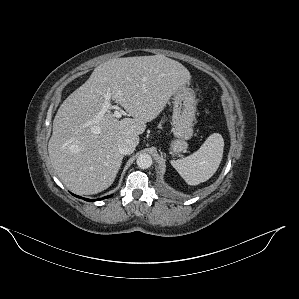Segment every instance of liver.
I'll use <instances>...</instances> for the list:
<instances>
[{"instance_id":"6515ba94","label":"liver","mask_w":299,"mask_h":299,"mask_svg":"<svg viewBox=\"0 0 299 299\" xmlns=\"http://www.w3.org/2000/svg\"><path fill=\"white\" fill-rule=\"evenodd\" d=\"M190 81L187 68L164 55L115 58L96 67L53 120L48 152L63 184L80 195L110 187L123 161L119 143L131 139L138 145L146 123ZM107 93L133 118L101 114Z\"/></svg>"}]
</instances>
